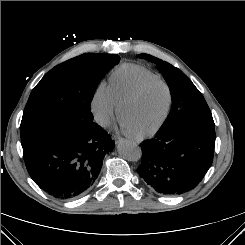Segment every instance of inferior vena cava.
Listing matches in <instances>:
<instances>
[{"instance_id": "1", "label": "inferior vena cava", "mask_w": 245, "mask_h": 245, "mask_svg": "<svg viewBox=\"0 0 245 245\" xmlns=\"http://www.w3.org/2000/svg\"><path fill=\"white\" fill-rule=\"evenodd\" d=\"M97 122L104 127L109 125V119L107 117L100 116L97 118Z\"/></svg>"}]
</instances>
